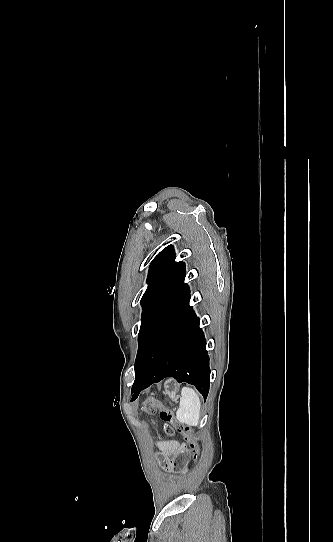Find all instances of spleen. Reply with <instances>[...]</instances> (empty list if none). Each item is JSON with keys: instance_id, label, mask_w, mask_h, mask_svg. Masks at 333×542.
<instances>
[{"instance_id": "spleen-1", "label": "spleen", "mask_w": 333, "mask_h": 542, "mask_svg": "<svg viewBox=\"0 0 333 542\" xmlns=\"http://www.w3.org/2000/svg\"><path fill=\"white\" fill-rule=\"evenodd\" d=\"M201 400L193 388L184 386L181 390L179 408L176 418L180 424L198 426L200 420Z\"/></svg>"}]
</instances>
